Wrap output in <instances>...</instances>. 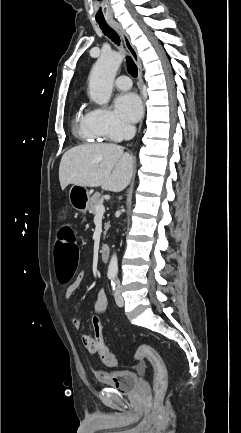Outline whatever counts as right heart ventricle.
<instances>
[{"instance_id":"right-heart-ventricle-1","label":"right heart ventricle","mask_w":241,"mask_h":433,"mask_svg":"<svg viewBox=\"0 0 241 433\" xmlns=\"http://www.w3.org/2000/svg\"><path fill=\"white\" fill-rule=\"evenodd\" d=\"M74 133L79 139L86 142H100L105 138L94 128L91 121V111L85 110L83 107L75 115Z\"/></svg>"}]
</instances>
